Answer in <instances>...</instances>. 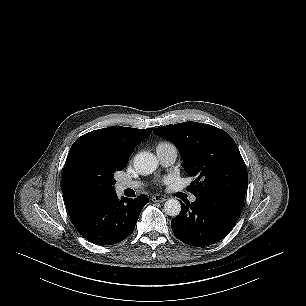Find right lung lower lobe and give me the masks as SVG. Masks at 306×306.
I'll list each match as a JSON object with an SVG mask.
<instances>
[{
    "label": "right lung lower lobe",
    "instance_id": "1",
    "mask_svg": "<svg viewBox=\"0 0 306 306\" xmlns=\"http://www.w3.org/2000/svg\"><path fill=\"white\" fill-rule=\"evenodd\" d=\"M148 202L146 195L134 199L123 197L121 201L114 196L71 216V221L88 241L112 245L126 239L133 232L140 212Z\"/></svg>",
    "mask_w": 306,
    "mask_h": 306
}]
</instances>
